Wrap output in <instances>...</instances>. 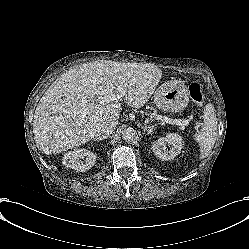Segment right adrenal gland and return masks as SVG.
Here are the masks:
<instances>
[{
  "label": "right adrenal gland",
  "mask_w": 249,
  "mask_h": 249,
  "mask_svg": "<svg viewBox=\"0 0 249 249\" xmlns=\"http://www.w3.org/2000/svg\"><path fill=\"white\" fill-rule=\"evenodd\" d=\"M106 138H108V136H99V137H97V138H94V141H101V140H103V139H106Z\"/></svg>",
  "instance_id": "obj_1"
}]
</instances>
